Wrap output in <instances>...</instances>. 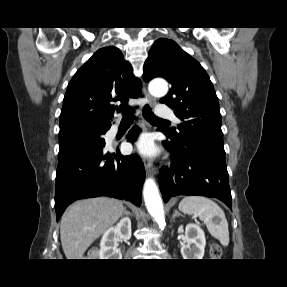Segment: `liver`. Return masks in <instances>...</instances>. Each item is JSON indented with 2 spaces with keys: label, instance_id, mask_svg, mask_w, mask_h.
<instances>
[{
  "label": "liver",
  "instance_id": "obj_1",
  "mask_svg": "<svg viewBox=\"0 0 287 287\" xmlns=\"http://www.w3.org/2000/svg\"><path fill=\"white\" fill-rule=\"evenodd\" d=\"M124 210L121 201L106 197L80 200L69 206L60 225L67 259H82L87 248L122 217Z\"/></svg>",
  "mask_w": 287,
  "mask_h": 287
}]
</instances>
